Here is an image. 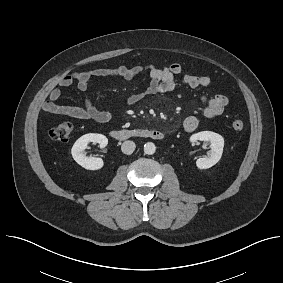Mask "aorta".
Segmentation results:
<instances>
[{
  "label": "aorta",
  "mask_w": 283,
  "mask_h": 283,
  "mask_svg": "<svg viewBox=\"0 0 283 283\" xmlns=\"http://www.w3.org/2000/svg\"><path fill=\"white\" fill-rule=\"evenodd\" d=\"M156 151V146L152 142H148L144 145V152L145 154L152 155Z\"/></svg>",
  "instance_id": "aorta-1"
}]
</instances>
